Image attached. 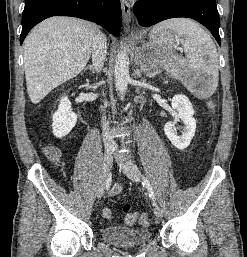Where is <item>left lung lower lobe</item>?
Instances as JSON below:
<instances>
[{"label":"left lung lower lobe","instance_id":"obj_1","mask_svg":"<svg viewBox=\"0 0 247 257\" xmlns=\"http://www.w3.org/2000/svg\"><path fill=\"white\" fill-rule=\"evenodd\" d=\"M134 13L144 27L175 17L192 18L206 26L221 45L215 0H140L134 5Z\"/></svg>","mask_w":247,"mask_h":257}]
</instances>
